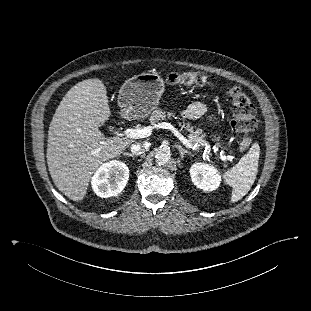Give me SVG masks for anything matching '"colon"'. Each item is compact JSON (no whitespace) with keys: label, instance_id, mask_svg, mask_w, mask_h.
I'll list each match as a JSON object with an SVG mask.
<instances>
[{"label":"colon","instance_id":"colon-1","mask_svg":"<svg viewBox=\"0 0 311 311\" xmlns=\"http://www.w3.org/2000/svg\"><path fill=\"white\" fill-rule=\"evenodd\" d=\"M168 82L175 86H204L211 85L212 81L203 72L188 71L172 73L168 76ZM233 106L232 129L238 133L236 146L240 151L248 150L252 145L251 133L258 127L256 108L250 97L239 87H233L229 91Z\"/></svg>","mask_w":311,"mask_h":311}]
</instances>
